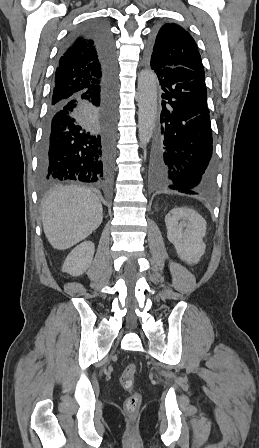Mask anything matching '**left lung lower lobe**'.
I'll return each instance as SVG.
<instances>
[{
    "mask_svg": "<svg viewBox=\"0 0 259 448\" xmlns=\"http://www.w3.org/2000/svg\"><path fill=\"white\" fill-rule=\"evenodd\" d=\"M154 69L162 87V111L150 178L158 190L210 194L216 162L205 75L184 67Z\"/></svg>",
    "mask_w": 259,
    "mask_h": 448,
    "instance_id": "0a47b994",
    "label": "left lung lower lobe"
}]
</instances>
